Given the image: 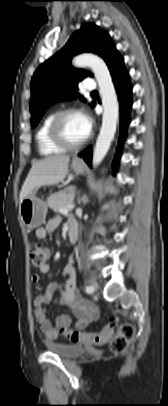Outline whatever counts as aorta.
<instances>
[{"mask_svg": "<svg viewBox=\"0 0 168 406\" xmlns=\"http://www.w3.org/2000/svg\"><path fill=\"white\" fill-rule=\"evenodd\" d=\"M72 64L77 68L90 67L99 86L104 112L92 159L93 166L96 167L107 154L116 132L119 114L117 95L109 69L103 59L94 54L84 53L76 56Z\"/></svg>", "mask_w": 168, "mask_h": 406, "instance_id": "1", "label": "aorta"}]
</instances>
